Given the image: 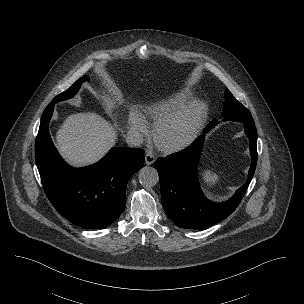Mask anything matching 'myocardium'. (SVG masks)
Segmentation results:
<instances>
[{
	"instance_id": "myocardium-1",
	"label": "myocardium",
	"mask_w": 304,
	"mask_h": 304,
	"mask_svg": "<svg viewBox=\"0 0 304 304\" xmlns=\"http://www.w3.org/2000/svg\"><path fill=\"white\" fill-rule=\"evenodd\" d=\"M207 117V106L199 100L190 101L182 108L155 123L153 136L156 144L168 152L178 151L191 144L200 133ZM185 124L178 135L169 130L174 125Z\"/></svg>"
}]
</instances>
